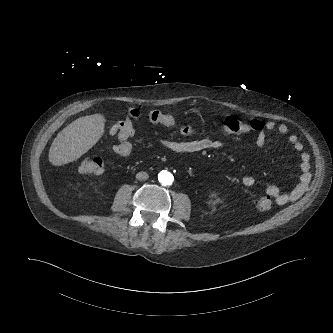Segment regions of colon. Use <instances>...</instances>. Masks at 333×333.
I'll return each mask as SVG.
<instances>
[{
	"label": "colon",
	"mask_w": 333,
	"mask_h": 333,
	"mask_svg": "<svg viewBox=\"0 0 333 333\" xmlns=\"http://www.w3.org/2000/svg\"><path fill=\"white\" fill-rule=\"evenodd\" d=\"M139 110L129 109L124 120L118 123L119 131L126 137H131L134 134L133 120L139 116ZM148 119L152 123L162 124L168 127L177 129L181 134L187 136L201 135L206 136L214 131L203 127L196 126L191 123H180L176 118L159 110H151L147 114ZM264 128V123L260 120L244 121L236 117H227L222 126L219 128L221 133H249L260 131ZM105 169L104 160L98 156H89L81 160L79 170L84 174H101ZM272 200L269 197H260L256 200V207L267 212L272 209Z\"/></svg>",
	"instance_id": "obj_1"
}]
</instances>
